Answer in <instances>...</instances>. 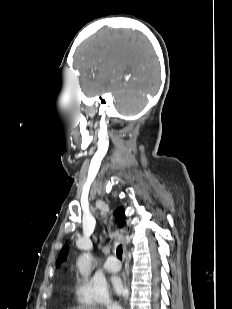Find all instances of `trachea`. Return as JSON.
<instances>
[{
  "mask_svg": "<svg viewBox=\"0 0 232 309\" xmlns=\"http://www.w3.org/2000/svg\"><path fill=\"white\" fill-rule=\"evenodd\" d=\"M123 248L122 245H119L116 249L117 258L122 260Z\"/></svg>",
  "mask_w": 232,
  "mask_h": 309,
  "instance_id": "obj_1",
  "label": "trachea"
}]
</instances>
